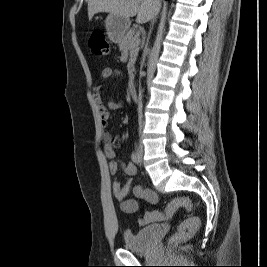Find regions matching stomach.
Listing matches in <instances>:
<instances>
[{"instance_id": "obj_1", "label": "stomach", "mask_w": 267, "mask_h": 267, "mask_svg": "<svg viewBox=\"0 0 267 267\" xmlns=\"http://www.w3.org/2000/svg\"><path fill=\"white\" fill-rule=\"evenodd\" d=\"M129 18L109 14L105 20V27L110 41L119 43L130 27Z\"/></svg>"}]
</instances>
